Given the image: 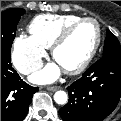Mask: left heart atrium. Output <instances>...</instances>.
Segmentation results:
<instances>
[{
  "label": "left heart atrium",
  "mask_w": 121,
  "mask_h": 121,
  "mask_svg": "<svg viewBox=\"0 0 121 121\" xmlns=\"http://www.w3.org/2000/svg\"><path fill=\"white\" fill-rule=\"evenodd\" d=\"M61 70L62 68L57 63H52L34 74L31 79L35 83H50L59 77Z\"/></svg>",
  "instance_id": "39dd6f15"
}]
</instances>
